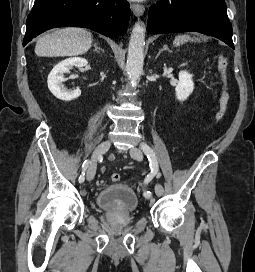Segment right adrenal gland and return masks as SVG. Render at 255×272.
Wrapping results in <instances>:
<instances>
[{
    "instance_id": "right-adrenal-gland-1",
    "label": "right adrenal gland",
    "mask_w": 255,
    "mask_h": 272,
    "mask_svg": "<svg viewBox=\"0 0 255 272\" xmlns=\"http://www.w3.org/2000/svg\"><path fill=\"white\" fill-rule=\"evenodd\" d=\"M94 48H95V51L100 50V51L104 52L100 47L97 46V43L94 44Z\"/></svg>"
}]
</instances>
